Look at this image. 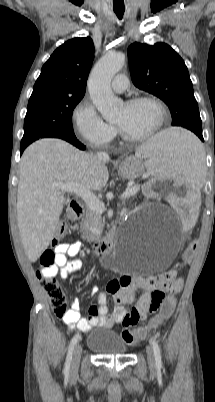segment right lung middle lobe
Instances as JSON below:
<instances>
[{"mask_svg":"<svg viewBox=\"0 0 215 402\" xmlns=\"http://www.w3.org/2000/svg\"><path fill=\"white\" fill-rule=\"evenodd\" d=\"M81 99L51 94L31 96L21 145H29L44 137L66 139L73 136L72 112Z\"/></svg>","mask_w":215,"mask_h":402,"instance_id":"1","label":"right lung middle lobe"}]
</instances>
